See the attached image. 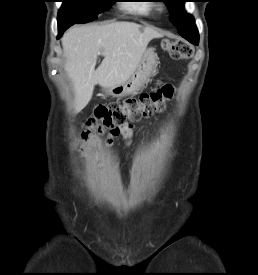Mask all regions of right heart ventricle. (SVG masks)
I'll return each instance as SVG.
<instances>
[{
  "instance_id": "obj_1",
  "label": "right heart ventricle",
  "mask_w": 258,
  "mask_h": 275,
  "mask_svg": "<svg viewBox=\"0 0 258 275\" xmlns=\"http://www.w3.org/2000/svg\"><path fill=\"white\" fill-rule=\"evenodd\" d=\"M128 9L136 11L143 15H147L154 9V7L150 4L141 3V4L128 6Z\"/></svg>"
}]
</instances>
